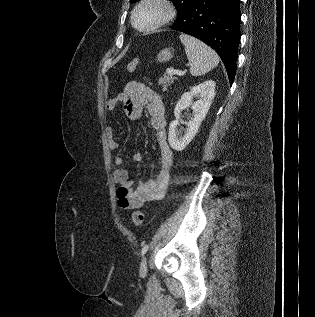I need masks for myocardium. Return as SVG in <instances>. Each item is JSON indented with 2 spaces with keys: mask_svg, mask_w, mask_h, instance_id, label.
Wrapping results in <instances>:
<instances>
[{
  "mask_svg": "<svg viewBox=\"0 0 315 317\" xmlns=\"http://www.w3.org/2000/svg\"><path fill=\"white\" fill-rule=\"evenodd\" d=\"M146 6H156L160 9V17L152 24L140 27L136 23V15L140 9ZM176 15L175 5L170 0H140L131 13L132 26L140 32H150L168 24Z\"/></svg>",
  "mask_w": 315,
  "mask_h": 317,
  "instance_id": "myocardium-1",
  "label": "myocardium"
}]
</instances>
